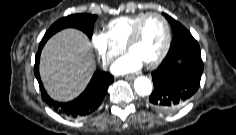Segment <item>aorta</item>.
I'll return each mask as SVG.
<instances>
[{
    "label": "aorta",
    "mask_w": 236,
    "mask_h": 135,
    "mask_svg": "<svg viewBox=\"0 0 236 135\" xmlns=\"http://www.w3.org/2000/svg\"><path fill=\"white\" fill-rule=\"evenodd\" d=\"M134 89L137 94L147 96L152 92V83L147 77L140 76L134 81Z\"/></svg>",
    "instance_id": "762f6f07"
}]
</instances>
